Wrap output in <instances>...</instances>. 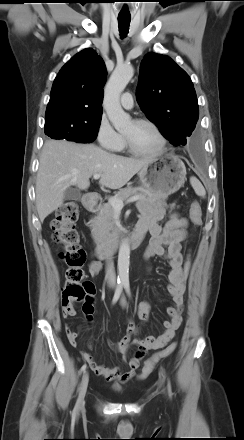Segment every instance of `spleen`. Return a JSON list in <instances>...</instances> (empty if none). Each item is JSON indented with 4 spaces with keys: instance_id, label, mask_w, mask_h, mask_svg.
I'll use <instances>...</instances> for the list:
<instances>
[{
    "instance_id": "obj_1",
    "label": "spleen",
    "mask_w": 244,
    "mask_h": 440,
    "mask_svg": "<svg viewBox=\"0 0 244 440\" xmlns=\"http://www.w3.org/2000/svg\"><path fill=\"white\" fill-rule=\"evenodd\" d=\"M190 184L198 196L205 198L206 191L203 185L201 184V182L196 177L194 176L190 177Z\"/></svg>"
}]
</instances>
